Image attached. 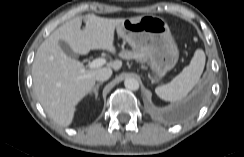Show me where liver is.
<instances>
[{
    "label": "liver",
    "mask_w": 244,
    "mask_h": 157,
    "mask_svg": "<svg viewBox=\"0 0 244 157\" xmlns=\"http://www.w3.org/2000/svg\"><path fill=\"white\" fill-rule=\"evenodd\" d=\"M75 17L57 28L39 46L32 64L33 89L46 114L58 125L67 127L74 119L76 106L89 94L99 69H87L67 56L59 45L65 41L73 52L86 55L90 50L116 54L115 29L124 19L102 18L88 14ZM121 61L109 62L106 68L118 71Z\"/></svg>",
    "instance_id": "obj_1"
}]
</instances>
